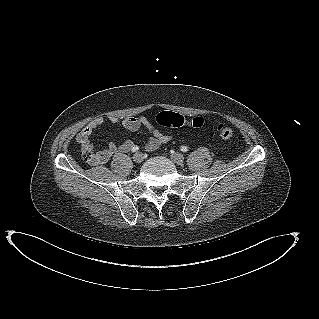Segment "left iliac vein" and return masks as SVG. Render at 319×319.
Listing matches in <instances>:
<instances>
[{"instance_id": "1", "label": "left iliac vein", "mask_w": 319, "mask_h": 319, "mask_svg": "<svg viewBox=\"0 0 319 319\" xmlns=\"http://www.w3.org/2000/svg\"><path fill=\"white\" fill-rule=\"evenodd\" d=\"M171 159L176 164H182L184 161V156L181 153H174L171 155Z\"/></svg>"}]
</instances>
